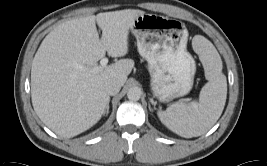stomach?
Segmentation results:
<instances>
[{"instance_id":"0dacf381","label":"stomach","mask_w":267,"mask_h":166,"mask_svg":"<svg viewBox=\"0 0 267 166\" xmlns=\"http://www.w3.org/2000/svg\"><path fill=\"white\" fill-rule=\"evenodd\" d=\"M139 54L148 62L151 90L160 102L184 96L193 87L196 63L187 51L188 31L178 20L139 16L132 28Z\"/></svg>"}]
</instances>
